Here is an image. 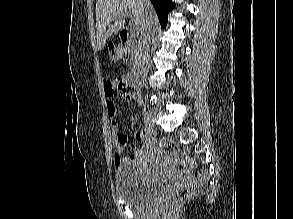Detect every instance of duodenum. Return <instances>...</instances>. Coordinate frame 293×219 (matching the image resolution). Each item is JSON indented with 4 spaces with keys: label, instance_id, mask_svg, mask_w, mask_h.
Here are the masks:
<instances>
[{
    "label": "duodenum",
    "instance_id": "duodenum-1",
    "mask_svg": "<svg viewBox=\"0 0 293 219\" xmlns=\"http://www.w3.org/2000/svg\"><path fill=\"white\" fill-rule=\"evenodd\" d=\"M122 42L131 47L137 54L135 67L129 72L126 77V82L134 89H139L143 83V61L139 55L141 52L142 44L136 33L129 28H123L121 31Z\"/></svg>",
    "mask_w": 293,
    "mask_h": 219
}]
</instances>
